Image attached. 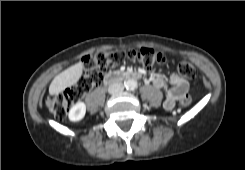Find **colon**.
Segmentation results:
<instances>
[{
    "instance_id": "colon-1",
    "label": "colon",
    "mask_w": 245,
    "mask_h": 170,
    "mask_svg": "<svg viewBox=\"0 0 245 170\" xmlns=\"http://www.w3.org/2000/svg\"><path fill=\"white\" fill-rule=\"evenodd\" d=\"M127 58L132 62L139 63L142 67L148 68L154 65L163 64L165 56L152 49H131L127 52L116 50L110 52H99L89 56L84 61V73L79 81L72 87L55 94H47L44 99L46 108L56 117L61 118L68 108L78 101L85 93L101 84L103 72L116 67ZM179 73L187 78L196 75L194 66L187 60H183L178 65ZM190 97L186 96L181 100L182 105L190 104Z\"/></svg>"
}]
</instances>
